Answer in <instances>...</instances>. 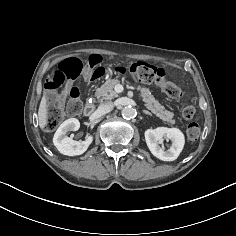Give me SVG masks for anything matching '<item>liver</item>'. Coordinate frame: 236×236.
<instances>
[{
    "mask_svg": "<svg viewBox=\"0 0 236 236\" xmlns=\"http://www.w3.org/2000/svg\"><path fill=\"white\" fill-rule=\"evenodd\" d=\"M47 113V98L46 94H44L38 110V121L41 129H43L47 125Z\"/></svg>",
    "mask_w": 236,
    "mask_h": 236,
    "instance_id": "1",
    "label": "liver"
}]
</instances>
